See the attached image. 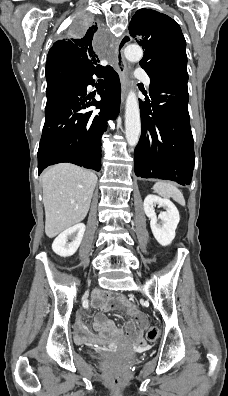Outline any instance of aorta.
<instances>
[{"label": "aorta", "mask_w": 228, "mask_h": 396, "mask_svg": "<svg viewBox=\"0 0 228 396\" xmlns=\"http://www.w3.org/2000/svg\"><path fill=\"white\" fill-rule=\"evenodd\" d=\"M124 54L127 60L131 62L140 61L143 57L141 47L129 45L125 48ZM141 133L140 109L138 99L134 91H130L125 106V136L130 146H135Z\"/></svg>", "instance_id": "762f6f07"}]
</instances>
